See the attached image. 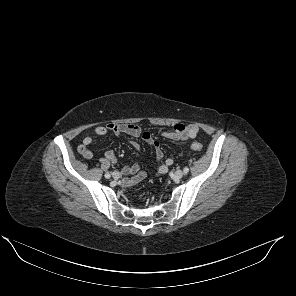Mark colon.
<instances>
[{
  "label": "colon",
  "instance_id": "1",
  "mask_svg": "<svg viewBox=\"0 0 296 296\" xmlns=\"http://www.w3.org/2000/svg\"><path fill=\"white\" fill-rule=\"evenodd\" d=\"M191 148L194 151L200 152V151H202L203 146L199 142H194V143L191 144Z\"/></svg>",
  "mask_w": 296,
  "mask_h": 296
}]
</instances>
